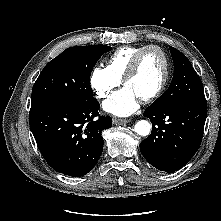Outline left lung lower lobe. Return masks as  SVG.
<instances>
[{"label":"left lung lower lobe","instance_id":"0a47b994","mask_svg":"<svg viewBox=\"0 0 221 221\" xmlns=\"http://www.w3.org/2000/svg\"><path fill=\"white\" fill-rule=\"evenodd\" d=\"M152 132L140 143L144 158L155 168L173 173L195 155L200 147L207 104H180L146 109Z\"/></svg>","mask_w":221,"mask_h":221}]
</instances>
